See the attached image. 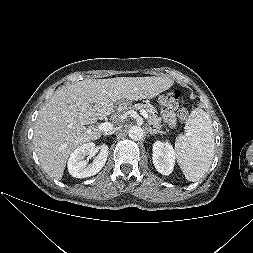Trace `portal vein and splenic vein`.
I'll list each match as a JSON object with an SVG mask.
<instances>
[{
    "mask_svg": "<svg viewBox=\"0 0 253 253\" xmlns=\"http://www.w3.org/2000/svg\"><path fill=\"white\" fill-rule=\"evenodd\" d=\"M141 115L147 119L148 118V113L145 110H140ZM113 128V124L110 122H104V123H100L97 126V131H102V132H108ZM91 130V129H90Z\"/></svg>",
    "mask_w": 253,
    "mask_h": 253,
    "instance_id": "obj_1",
    "label": "portal vein and splenic vein"
}]
</instances>
